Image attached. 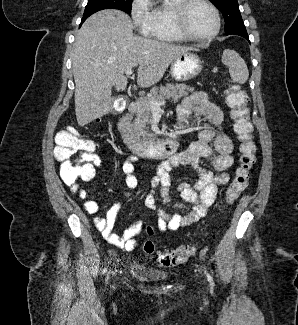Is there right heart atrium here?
<instances>
[{
    "instance_id": "obj_1",
    "label": "right heart atrium",
    "mask_w": 298,
    "mask_h": 325,
    "mask_svg": "<svg viewBox=\"0 0 298 325\" xmlns=\"http://www.w3.org/2000/svg\"><path fill=\"white\" fill-rule=\"evenodd\" d=\"M130 15L140 37H149L150 41H159L161 37L159 25H149L153 22V7L148 0H134Z\"/></svg>"
}]
</instances>
